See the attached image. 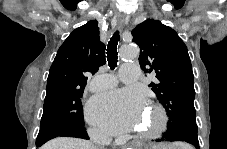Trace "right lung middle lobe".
<instances>
[{"label":"right lung middle lobe","mask_w":227,"mask_h":149,"mask_svg":"<svg viewBox=\"0 0 227 149\" xmlns=\"http://www.w3.org/2000/svg\"><path fill=\"white\" fill-rule=\"evenodd\" d=\"M84 88H56L47 90L40 129L84 126L80 97Z\"/></svg>","instance_id":"dd1d6c3e"}]
</instances>
